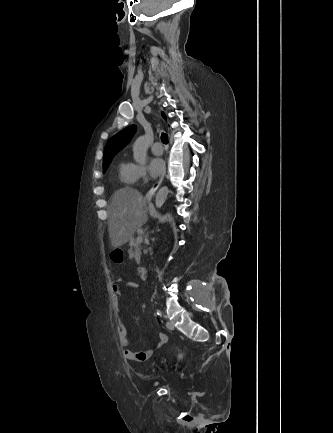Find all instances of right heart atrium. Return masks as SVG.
<instances>
[{
  "label": "right heart atrium",
  "mask_w": 333,
  "mask_h": 433,
  "mask_svg": "<svg viewBox=\"0 0 333 433\" xmlns=\"http://www.w3.org/2000/svg\"><path fill=\"white\" fill-rule=\"evenodd\" d=\"M134 169L137 179H142L146 176V166L143 164H134Z\"/></svg>",
  "instance_id": "d8ad5b80"
}]
</instances>
